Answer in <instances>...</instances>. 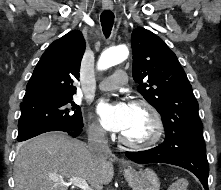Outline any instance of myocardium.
<instances>
[{"label":"myocardium","mask_w":221,"mask_h":190,"mask_svg":"<svg viewBox=\"0 0 221 190\" xmlns=\"http://www.w3.org/2000/svg\"><path fill=\"white\" fill-rule=\"evenodd\" d=\"M131 106L142 108L148 113L151 120L150 133L147 138L139 141L131 140L123 134H120L119 141L129 148L137 150L148 149L155 146L160 141L164 132V124L161 114L157 108L146 99H134Z\"/></svg>","instance_id":"1"}]
</instances>
